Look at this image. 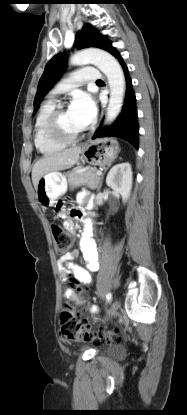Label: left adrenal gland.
Segmentation results:
<instances>
[{
    "label": "left adrenal gland",
    "instance_id": "1",
    "mask_svg": "<svg viewBox=\"0 0 187 415\" xmlns=\"http://www.w3.org/2000/svg\"><path fill=\"white\" fill-rule=\"evenodd\" d=\"M103 176H104V174H103V175H102V177H101V181H100V185H99V187H98V191L100 190V188H101V186H102Z\"/></svg>",
    "mask_w": 187,
    "mask_h": 415
}]
</instances>
